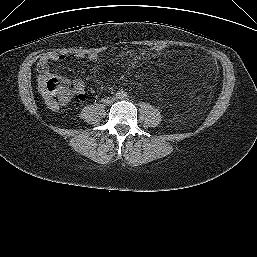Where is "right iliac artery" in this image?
<instances>
[{
	"mask_svg": "<svg viewBox=\"0 0 257 257\" xmlns=\"http://www.w3.org/2000/svg\"><path fill=\"white\" fill-rule=\"evenodd\" d=\"M116 98H119V95H118V94H116Z\"/></svg>",
	"mask_w": 257,
	"mask_h": 257,
	"instance_id": "obj_1",
	"label": "right iliac artery"
}]
</instances>
